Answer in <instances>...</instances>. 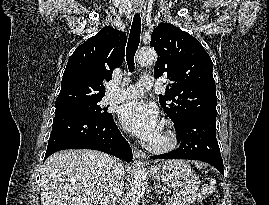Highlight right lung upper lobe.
Wrapping results in <instances>:
<instances>
[{"label":"right lung upper lobe","mask_w":269,"mask_h":205,"mask_svg":"<svg viewBox=\"0 0 269 205\" xmlns=\"http://www.w3.org/2000/svg\"><path fill=\"white\" fill-rule=\"evenodd\" d=\"M126 34L110 26L79 45L69 59L55 106L101 100L105 95L103 80L124 59Z\"/></svg>","instance_id":"1"}]
</instances>
